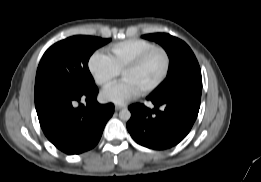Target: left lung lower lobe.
Instances as JSON below:
<instances>
[{"label": "left lung lower lobe", "mask_w": 261, "mask_h": 182, "mask_svg": "<svg viewBox=\"0 0 261 182\" xmlns=\"http://www.w3.org/2000/svg\"><path fill=\"white\" fill-rule=\"evenodd\" d=\"M202 90L179 93L165 100L147 97L154 104L149 109L143 104L129 106L131 118L127 129L140 145L162 150L178 144L189 133L200 108ZM162 107L164 110H160Z\"/></svg>", "instance_id": "obj_1"}]
</instances>
